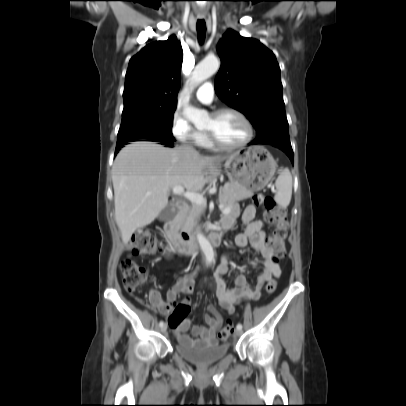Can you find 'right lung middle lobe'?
<instances>
[{
    "mask_svg": "<svg viewBox=\"0 0 406 406\" xmlns=\"http://www.w3.org/2000/svg\"><path fill=\"white\" fill-rule=\"evenodd\" d=\"M175 109L176 106L158 107L151 105L124 108L122 123L117 136V146L139 140L175 141L171 132Z\"/></svg>",
    "mask_w": 406,
    "mask_h": 406,
    "instance_id": "1",
    "label": "right lung middle lobe"
}]
</instances>
